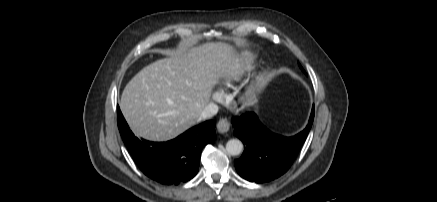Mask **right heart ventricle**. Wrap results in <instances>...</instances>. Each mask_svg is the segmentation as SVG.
Wrapping results in <instances>:
<instances>
[{
  "label": "right heart ventricle",
  "mask_w": 437,
  "mask_h": 202,
  "mask_svg": "<svg viewBox=\"0 0 437 202\" xmlns=\"http://www.w3.org/2000/svg\"><path fill=\"white\" fill-rule=\"evenodd\" d=\"M256 56L251 53H243L239 62L233 67L228 77L223 81L224 86H230L239 81L252 67Z\"/></svg>",
  "instance_id": "1"
}]
</instances>
